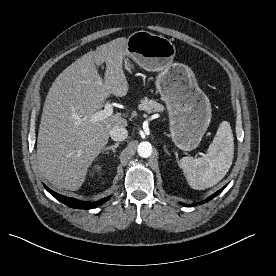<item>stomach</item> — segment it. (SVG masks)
I'll return each mask as SVG.
<instances>
[{
	"label": "stomach",
	"instance_id": "obj_1",
	"mask_svg": "<svg viewBox=\"0 0 276 276\" xmlns=\"http://www.w3.org/2000/svg\"><path fill=\"white\" fill-rule=\"evenodd\" d=\"M174 44L167 38L147 31L132 33L126 43L124 68L131 72V59L141 68L159 72L155 86L169 113L170 136L184 150L195 149L211 121V105L198 87L193 71L173 63Z\"/></svg>",
	"mask_w": 276,
	"mask_h": 276
}]
</instances>
